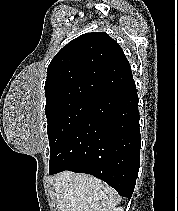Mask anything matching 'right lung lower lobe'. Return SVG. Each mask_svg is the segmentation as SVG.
<instances>
[{
  "instance_id": "obj_1",
  "label": "right lung lower lobe",
  "mask_w": 178,
  "mask_h": 211,
  "mask_svg": "<svg viewBox=\"0 0 178 211\" xmlns=\"http://www.w3.org/2000/svg\"><path fill=\"white\" fill-rule=\"evenodd\" d=\"M139 118L132 80L96 101L50 155L49 173H88L130 199L140 166Z\"/></svg>"
}]
</instances>
